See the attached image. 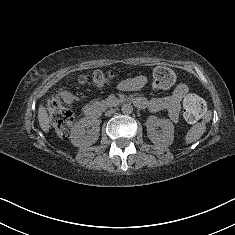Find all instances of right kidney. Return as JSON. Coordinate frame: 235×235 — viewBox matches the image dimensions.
Returning a JSON list of instances; mask_svg holds the SVG:
<instances>
[{
    "instance_id": "right-kidney-1",
    "label": "right kidney",
    "mask_w": 235,
    "mask_h": 235,
    "mask_svg": "<svg viewBox=\"0 0 235 235\" xmlns=\"http://www.w3.org/2000/svg\"><path fill=\"white\" fill-rule=\"evenodd\" d=\"M86 129H89L88 132ZM99 132V120L94 119L92 121H87L81 119L76 123V126L72 131L71 142L76 147L91 146L98 140L100 134Z\"/></svg>"
}]
</instances>
